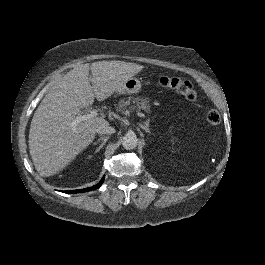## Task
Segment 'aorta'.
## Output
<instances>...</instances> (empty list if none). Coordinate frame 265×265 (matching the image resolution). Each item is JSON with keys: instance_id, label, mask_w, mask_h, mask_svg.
<instances>
[{"instance_id": "762f6f07", "label": "aorta", "mask_w": 265, "mask_h": 265, "mask_svg": "<svg viewBox=\"0 0 265 265\" xmlns=\"http://www.w3.org/2000/svg\"><path fill=\"white\" fill-rule=\"evenodd\" d=\"M137 143H138V139L134 132H128L123 137L122 145L126 150H131V149L136 148Z\"/></svg>"}]
</instances>
